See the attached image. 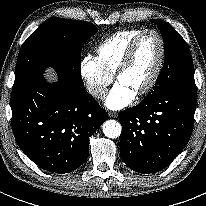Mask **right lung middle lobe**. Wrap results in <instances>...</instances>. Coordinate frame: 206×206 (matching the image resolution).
<instances>
[{
    "mask_svg": "<svg viewBox=\"0 0 206 206\" xmlns=\"http://www.w3.org/2000/svg\"><path fill=\"white\" fill-rule=\"evenodd\" d=\"M97 30L85 21L50 18L43 22L19 52L12 95L42 76L46 66L53 67L59 77L72 85L84 87L80 54L84 43Z\"/></svg>",
    "mask_w": 206,
    "mask_h": 206,
    "instance_id": "right-lung-middle-lobe-1",
    "label": "right lung middle lobe"
}]
</instances>
